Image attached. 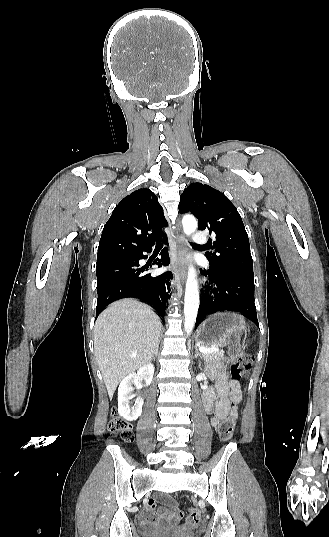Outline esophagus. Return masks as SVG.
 Listing matches in <instances>:
<instances>
[{"label": "esophagus", "instance_id": "obj_1", "mask_svg": "<svg viewBox=\"0 0 329 537\" xmlns=\"http://www.w3.org/2000/svg\"><path fill=\"white\" fill-rule=\"evenodd\" d=\"M175 238L177 242V252H176L175 257L172 260V265L173 267L176 268V275H175L176 279L184 282L185 277H186V272H185V267H184L186 246H185V236L179 223H178V228L176 231Z\"/></svg>", "mask_w": 329, "mask_h": 537}]
</instances>
